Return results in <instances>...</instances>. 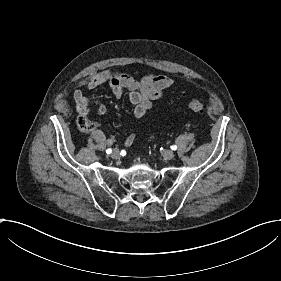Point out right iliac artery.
<instances>
[{"instance_id":"obj_1","label":"right iliac artery","mask_w":281,"mask_h":281,"mask_svg":"<svg viewBox=\"0 0 281 281\" xmlns=\"http://www.w3.org/2000/svg\"><path fill=\"white\" fill-rule=\"evenodd\" d=\"M111 152H112V150L110 148L106 150L107 154H110Z\"/></svg>"}]
</instances>
